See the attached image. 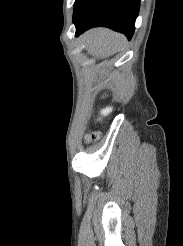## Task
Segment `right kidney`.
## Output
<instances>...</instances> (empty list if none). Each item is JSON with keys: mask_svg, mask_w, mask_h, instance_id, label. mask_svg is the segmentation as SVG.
<instances>
[{"mask_svg": "<svg viewBox=\"0 0 183 246\" xmlns=\"http://www.w3.org/2000/svg\"><path fill=\"white\" fill-rule=\"evenodd\" d=\"M110 112H112V108H111V107H107V108H105V109H103V110L101 111V115L106 116V115H108Z\"/></svg>", "mask_w": 183, "mask_h": 246, "instance_id": "1", "label": "right kidney"}]
</instances>
